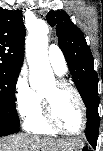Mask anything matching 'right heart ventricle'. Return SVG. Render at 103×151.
<instances>
[{"mask_svg":"<svg viewBox=\"0 0 103 151\" xmlns=\"http://www.w3.org/2000/svg\"><path fill=\"white\" fill-rule=\"evenodd\" d=\"M58 75L61 76L63 74H58ZM37 96H38V101H37V104H36L34 110L27 118H25V121H24L25 129L34 134L54 135L57 132L52 130L46 124L44 117H43V106H42L41 96L38 94H37Z\"/></svg>","mask_w":103,"mask_h":151,"instance_id":"obj_1","label":"right heart ventricle"}]
</instances>
